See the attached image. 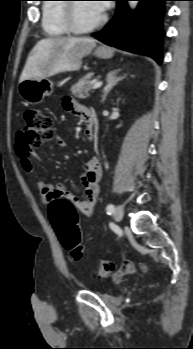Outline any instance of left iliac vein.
Returning <instances> with one entry per match:
<instances>
[{"label": "left iliac vein", "instance_id": "obj_1", "mask_svg": "<svg viewBox=\"0 0 193 349\" xmlns=\"http://www.w3.org/2000/svg\"><path fill=\"white\" fill-rule=\"evenodd\" d=\"M124 215V210L122 205H117L114 211V217L117 221H121Z\"/></svg>", "mask_w": 193, "mask_h": 349}]
</instances>
